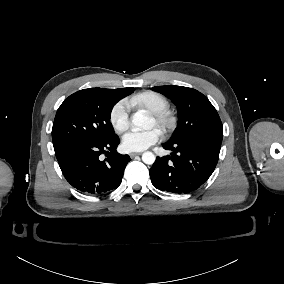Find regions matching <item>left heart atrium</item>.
Instances as JSON below:
<instances>
[{
  "instance_id": "obj_1",
  "label": "left heart atrium",
  "mask_w": 284,
  "mask_h": 284,
  "mask_svg": "<svg viewBox=\"0 0 284 284\" xmlns=\"http://www.w3.org/2000/svg\"><path fill=\"white\" fill-rule=\"evenodd\" d=\"M161 139L157 129L139 130L129 129L122 136V148L127 151L144 150Z\"/></svg>"
}]
</instances>
